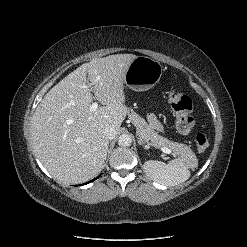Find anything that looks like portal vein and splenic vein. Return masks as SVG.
Returning <instances> with one entry per match:
<instances>
[{
	"instance_id": "obj_1",
	"label": "portal vein and splenic vein",
	"mask_w": 247,
	"mask_h": 247,
	"mask_svg": "<svg viewBox=\"0 0 247 247\" xmlns=\"http://www.w3.org/2000/svg\"><path fill=\"white\" fill-rule=\"evenodd\" d=\"M99 78L96 79V81H98ZM92 85V83L89 86H85L84 88H89ZM98 108V103L97 102H93L90 106V111L93 112ZM162 152L166 153V154H171L172 151L169 148L166 147H161L160 148Z\"/></svg>"
}]
</instances>
